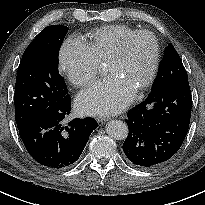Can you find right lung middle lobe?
I'll return each mask as SVG.
<instances>
[{"instance_id": "1", "label": "right lung middle lobe", "mask_w": 205, "mask_h": 205, "mask_svg": "<svg viewBox=\"0 0 205 205\" xmlns=\"http://www.w3.org/2000/svg\"><path fill=\"white\" fill-rule=\"evenodd\" d=\"M68 27L43 29L25 50L17 71L14 105L17 127L70 96L58 69V54Z\"/></svg>"}]
</instances>
